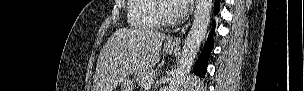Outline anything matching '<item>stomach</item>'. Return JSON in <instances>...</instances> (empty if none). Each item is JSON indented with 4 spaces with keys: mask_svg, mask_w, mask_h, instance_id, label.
<instances>
[{
    "mask_svg": "<svg viewBox=\"0 0 304 91\" xmlns=\"http://www.w3.org/2000/svg\"><path fill=\"white\" fill-rule=\"evenodd\" d=\"M177 49L178 48L176 46H173L167 42L164 44V47H163V50L168 54L175 53L177 51ZM133 89H134L133 82L129 79H125L123 82L122 91H133Z\"/></svg>",
    "mask_w": 304,
    "mask_h": 91,
    "instance_id": "1",
    "label": "stomach"
}]
</instances>
